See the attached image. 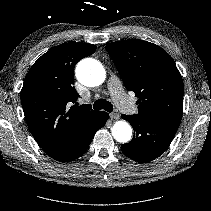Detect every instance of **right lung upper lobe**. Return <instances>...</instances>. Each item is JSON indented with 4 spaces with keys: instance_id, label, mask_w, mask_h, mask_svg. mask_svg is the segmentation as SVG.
<instances>
[{
    "instance_id": "right-lung-upper-lobe-1",
    "label": "right lung upper lobe",
    "mask_w": 211,
    "mask_h": 211,
    "mask_svg": "<svg viewBox=\"0 0 211 211\" xmlns=\"http://www.w3.org/2000/svg\"><path fill=\"white\" fill-rule=\"evenodd\" d=\"M96 46L64 43L42 55L27 73L21 90V103L28 128L50 155L62 148L74 133L100 111L76 102L74 67L94 53Z\"/></svg>"
}]
</instances>
